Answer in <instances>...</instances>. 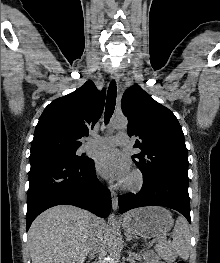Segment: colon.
<instances>
[{"label": "colon", "instance_id": "5ec220e1", "mask_svg": "<svg viewBox=\"0 0 220 263\" xmlns=\"http://www.w3.org/2000/svg\"><path fill=\"white\" fill-rule=\"evenodd\" d=\"M176 263H185L183 260H178Z\"/></svg>", "mask_w": 220, "mask_h": 263}]
</instances>
